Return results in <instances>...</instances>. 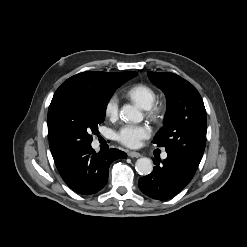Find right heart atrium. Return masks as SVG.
Wrapping results in <instances>:
<instances>
[{"label":"right heart atrium","mask_w":247,"mask_h":247,"mask_svg":"<svg viewBox=\"0 0 247 247\" xmlns=\"http://www.w3.org/2000/svg\"><path fill=\"white\" fill-rule=\"evenodd\" d=\"M119 112V104L116 96H111L105 103L104 113L107 118L114 119Z\"/></svg>","instance_id":"right-heart-atrium-1"}]
</instances>
